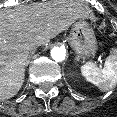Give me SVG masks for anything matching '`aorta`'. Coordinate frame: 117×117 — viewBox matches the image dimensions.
Instances as JSON below:
<instances>
[{"label":"aorta","mask_w":117,"mask_h":117,"mask_svg":"<svg viewBox=\"0 0 117 117\" xmlns=\"http://www.w3.org/2000/svg\"><path fill=\"white\" fill-rule=\"evenodd\" d=\"M51 57L56 62H62L66 57V51L62 47H54L51 50Z\"/></svg>","instance_id":"aorta-1"}]
</instances>
